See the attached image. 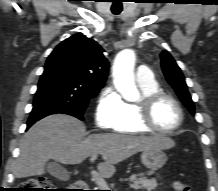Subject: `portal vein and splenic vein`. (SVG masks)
Instances as JSON below:
<instances>
[{
    "mask_svg": "<svg viewBox=\"0 0 218 191\" xmlns=\"http://www.w3.org/2000/svg\"><path fill=\"white\" fill-rule=\"evenodd\" d=\"M96 158H97L96 155L91 156V158H90L91 162H93ZM91 175H92L93 181L96 182V184H97L98 188H100V190H107L108 189V186H107L104 178L98 172L92 170Z\"/></svg>",
    "mask_w": 218,
    "mask_h": 191,
    "instance_id": "18ae733b",
    "label": "portal vein and splenic vein"
}]
</instances>
